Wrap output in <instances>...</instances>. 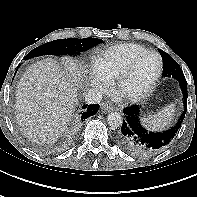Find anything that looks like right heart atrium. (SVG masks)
I'll list each match as a JSON object with an SVG mask.
<instances>
[{
  "instance_id": "d8ad5b80",
  "label": "right heart atrium",
  "mask_w": 197,
  "mask_h": 197,
  "mask_svg": "<svg viewBox=\"0 0 197 197\" xmlns=\"http://www.w3.org/2000/svg\"><path fill=\"white\" fill-rule=\"evenodd\" d=\"M89 82L99 92H105L110 86V81L96 71L90 73Z\"/></svg>"
}]
</instances>
